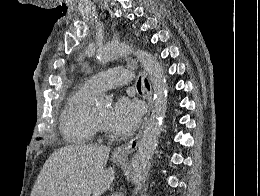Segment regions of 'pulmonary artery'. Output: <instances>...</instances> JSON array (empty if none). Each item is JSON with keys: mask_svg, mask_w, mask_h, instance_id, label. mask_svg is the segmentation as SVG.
<instances>
[{"mask_svg": "<svg viewBox=\"0 0 260 196\" xmlns=\"http://www.w3.org/2000/svg\"><path fill=\"white\" fill-rule=\"evenodd\" d=\"M127 73V69H103V72H99L96 79L90 80L91 87L99 94L105 90H113L111 84H131V77L124 76Z\"/></svg>", "mask_w": 260, "mask_h": 196, "instance_id": "e3ab8cb5", "label": "pulmonary artery"}]
</instances>
